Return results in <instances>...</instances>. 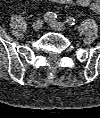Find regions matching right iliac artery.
Returning <instances> with one entry per match:
<instances>
[{
  "mask_svg": "<svg viewBox=\"0 0 100 118\" xmlns=\"http://www.w3.org/2000/svg\"><path fill=\"white\" fill-rule=\"evenodd\" d=\"M56 18H57V15L54 12H47L44 14V19L46 21L55 20Z\"/></svg>",
  "mask_w": 100,
  "mask_h": 118,
  "instance_id": "82829eb1",
  "label": "right iliac artery"
}]
</instances>
